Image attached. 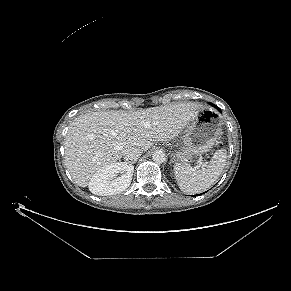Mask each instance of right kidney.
I'll list each match as a JSON object with an SVG mask.
<instances>
[{"mask_svg": "<svg viewBox=\"0 0 291 291\" xmlns=\"http://www.w3.org/2000/svg\"><path fill=\"white\" fill-rule=\"evenodd\" d=\"M134 167L126 162H117L99 169L89 182V190L99 196L113 195L124 191L131 183Z\"/></svg>", "mask_w": 291, "mask_h": 291, "instance_id": "1", "label": "right kidney"}]
</instances>
